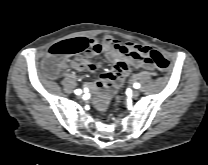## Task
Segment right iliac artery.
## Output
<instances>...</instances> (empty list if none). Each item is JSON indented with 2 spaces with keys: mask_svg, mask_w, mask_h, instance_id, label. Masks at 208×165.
<instances>
[{
  "mask_svg": "<svg viewBox=\"0 0 208 165\" xmlns=\"http://www.w3.org/2000/svg\"><path fill=\"white\" fill-rule=\"evenodd\" d=\"M81 92L82 91L80 89L75 90V94H77V95L81 94Z\"/></svg>",
  "mask_w": 208,
  "mask_h": 165,
  "instance_id": "82829eb1",
  "label": "right iliac artery"
}]
</instances>
